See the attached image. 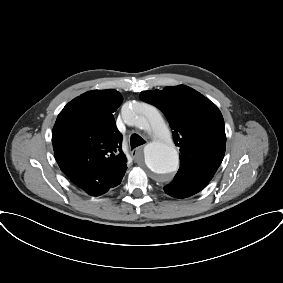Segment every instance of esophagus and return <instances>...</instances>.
<instances>
[{
  "label": "esophagus",
  "instance_id": "34e87169",
  "mask_svg": "<svg viewBox=\"0 0 283 283\" xmlns=\"http://www.w3.org/2000/svg\"><path fill=\"white\" fill-rule=\"evenodd\" d=\"M142 149H143V146H140L136 149H134L132 152H131V156L134 160H137L138 157L141 155L142 153Z\"/></svg>",
  "mask_w": 283,
  "mask_h": 283
}]
</instances>
